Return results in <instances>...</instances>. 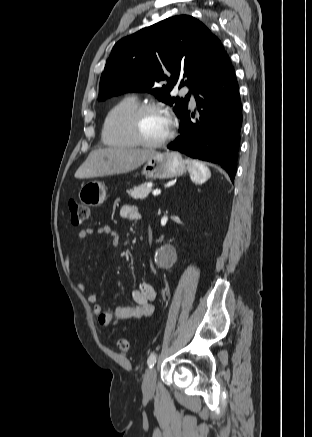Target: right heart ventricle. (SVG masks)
Wrapping results in <instances>:
<instances>
[{
    "instance_id": "e07e8e85",
    "label": "right heart ventricle",
    "mask_w": 312,
    "mask_h": 437,
    "mask_svg": "<svg viewBox=\"0 0 312 437\" xmlns=\"http://www.w3.org/2000/svg\"><path fill=\"white\" fill-rule=\"evenodd\" d=\"M134 96H126L115 103L107 112L102 125V141L113 147L132 148L138 146L129 129V116L138 106Z\"/></svg>"
}]
</instances>
